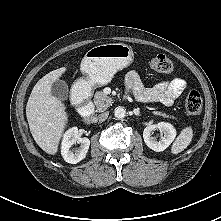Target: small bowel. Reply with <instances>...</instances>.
<instances>
[{
	"label": "small bowel",
	"instance_id": "1",
	"mask_svg": "<svg viewBox=\"0 0 221 221\" xmlns=\"http://www.w3.org/2000/svg\"><path fill=\"white\" fill-rule=\"evenodd\" d=\"M125 83L138 101L160 102L167 106L172 105L186 89V82L182 78H174L162 81L152 87H145L136 72H129L125 77Z\"/></svg>",
	"mask_w": 221,
	"mask_h": 221
}]
</instances>
